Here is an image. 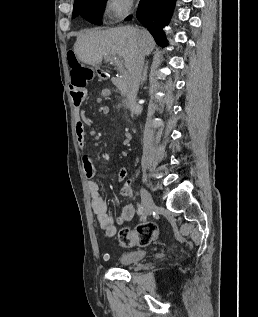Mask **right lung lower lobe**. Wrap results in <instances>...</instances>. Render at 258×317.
I'll return each instance as SVG.
<instances>
[{
	"instance_id": "right-lung-lower-lobe-1",
	"label": "right lung lower lobe",
	"mask_w": 258,
	"mask_h": 317,
	"mask_svg": "<svg viewBox=\"0 0 258 317\" xmlns=\"http://www.w3.org/2000/svg\"><path fill=\"white\" fill-rule=\"evenodd\" d=\"M176 0H140L136 17L148 29L159 46L167 45L164 31ZM130 20V17L127 18Z\"/></svg>"
}]
</instances>
